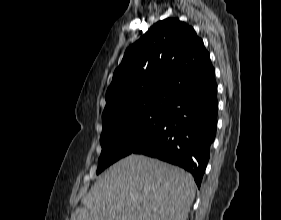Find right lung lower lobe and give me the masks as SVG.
Here are the masks:
<instances>
[{"label": "right lung lower lobe", "instance_id": "obj_1", "mask_svg": "<svg viewBox=\"0 0 281 220\" xmlns=\"http://www.w3.org/2000/svg\"><path fill=\"white\" fill-rule=\"evenodd\" d=\"M217 85L189 93L167 110L153 137L132 153L180 166L190 172L200 188L217 126Z\"/></svg>", "mask_w": 281, "mask_h": 220}]
</instances>
